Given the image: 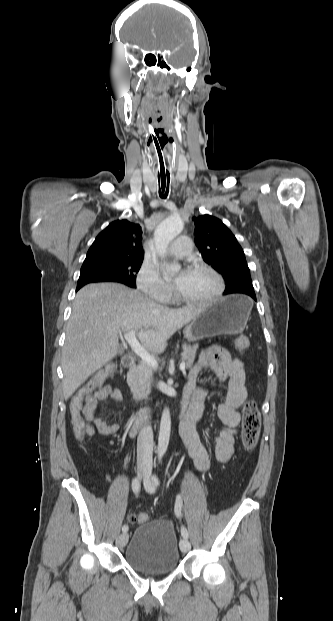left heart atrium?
I'll return each mask as SVG.
<instances>
[{"mask_svg":"<svg viewBox=\"0 0 333 621\" xmlns=\"http://www.w3.org/2000/svg\"><path fill=\"white\" fill-rule=\"evenodd\" d=\"M186 272L187 271H183L181 272L177 278L175 279V285L176 287L179 286L181 284V282L184 280L185 276H186Z\"/></svg>","mask_w":333,"mask_h":621,"instance_id":"left-heart-atrium-1","label":"left heart atrium"}]
</instances>
